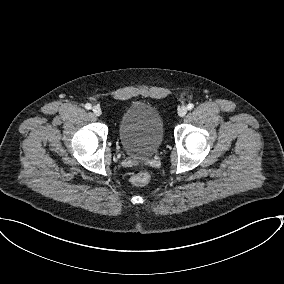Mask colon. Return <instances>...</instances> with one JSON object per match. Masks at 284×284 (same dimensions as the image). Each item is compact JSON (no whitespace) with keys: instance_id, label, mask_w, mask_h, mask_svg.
Returning a JSON list of instances; mask_svg holds the SVG:
<instances>
[{"instance_id":"1","label":"colon","mask_w":284,"mask_h":284,"mask_svg":"<svg viewBox=\"0 0 284 284\" xmlns=\"http://www.w3.org/2000/svg\"><path fill=\"white\" fill-rule=\"evenodd\" d=\"M150 180L149 172L142 170L131 177V182L136 186H142Z\"/></svg>"}]
</instances>
